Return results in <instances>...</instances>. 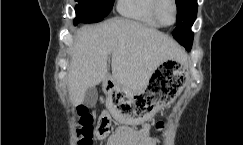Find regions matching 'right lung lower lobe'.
<instances>
[{"label":"right lung lower lobe","instance_id":"98d812e1","mask_svg":"<svg viewBox=\"0 0 243 145\" xmlns=\"http://www.w3.org/2000/svg\"><path fill=\"white\" fill-rule=\"evenodd\" d=\"M76 14L77 18L74 20L75 24L78 22L82 23H92V22H98L102 20L105 17L95 15L94 13L88 11V10H82L76 8Z\"/></svg>","mask_w":243,"mask_h":145}]
</instances>
